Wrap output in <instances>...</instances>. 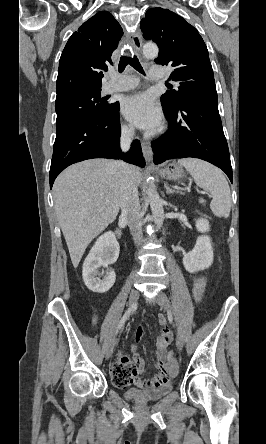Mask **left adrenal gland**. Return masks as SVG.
<instances>
[{
  "instance_id": "a2214340",
  "label": "left adrenal gland",
  "mask_w": 266,
  "mask_h": 444,
  "mask_svg": "<svg viewBox=\"0 0 266 444\" xmlns=\"http://www.w3.org/2000/svg\"><path fill=\"white\" fill-rule=\"evenodd\" d=\"M164 187H165V189H166V193H167V194H173V193L178 192V191H176V190L171 189V188H170L169 186H167V185H165Z\"/></svg>"
}]
</instances>
